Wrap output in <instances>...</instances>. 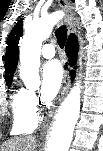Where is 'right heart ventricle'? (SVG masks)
<instances>
[{
	"label": "right heart ventricle",
	"mask_w": 103,
	"mask_h": 151,
	"mask_svg": "<svg viewBox=\"0 0 103 151\" xmlns=\"http://www.w3.org/2000/svg\"><path fill=\"white\" fill-rule=\"evenodd\" d=\"M11 108L13 115L11 133L13 135L32 133L38 125V118L37 115L30 110L27 104L26 90H14L12 94Z\"/></svg>",
	"instance_id": "e07e8e85"
}]
</instances>
